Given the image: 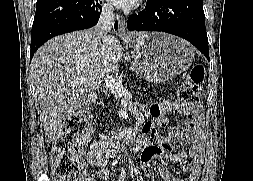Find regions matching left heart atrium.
I'll use <instances>...</instances> for the list:
<instances>
[{"label":"left heart atrium","mask_w":253,"mask_h":181,"mask_svg":"<svg viewBox=\"0 0 253 181\" xmlns=\"http://www.w3.org/2000/svg\"><path fill=\"white\" fill-rule=\"evenodd\" d=\"M115 6L122 9H132L136 7L140 0H110Z\"/></svg>","instance_id":"left-heart-atrium-1"}]
</instances>
